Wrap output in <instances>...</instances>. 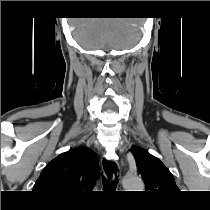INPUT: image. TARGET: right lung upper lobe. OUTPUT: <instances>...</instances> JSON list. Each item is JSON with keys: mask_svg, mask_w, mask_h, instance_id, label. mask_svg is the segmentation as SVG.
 <instances>
[{"mask_svg": "<svg viewBox=\"0 0 210 210\" xmlns=\"http://www.w3.org/2000/svg\"><path fill=\"white\" fill-rule=\"evenodd\" d=\"M99 176L98 156L88 147H77L49 162L33 191L57 203H68L92 190Z\"/></svg>", "mask_w": 210, "mask_h": 210, "instance_id": "1", "label": "right lung upper lobe"}]
</instances>
